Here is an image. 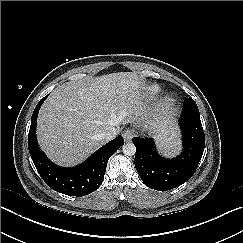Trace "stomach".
I'll list each match as a JSON object with an SVG mask.
<instances>
[{"mask_svg": "<svg viewBox=\"0 0 243 243\" xmlns=\"http://www.w3.org/2000/svg\"><path fill=\"white\" fill-rule=\"evenodd\" d=\"M154 133L156 135V137L159 139V142H160V146L162 147V144L166 142V135L165 133L163 132L162 128L159 129H154Z\"/></svg>", "mask_w": 243, "mask_h": 243, "instance_id": "stomach-1", "label": "stomach"}]
</instances>
